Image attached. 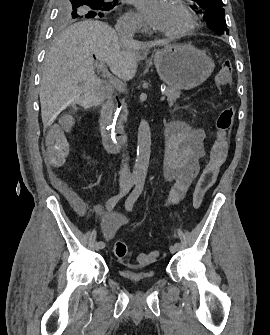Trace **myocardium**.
I'll use <instances>...</instances> for the list:
<instances>
[{"label": "myocardium", "mask_w": 270, "mask_h": 335, "mask_svg": "<svg viewBox=\"0 0 270 335\" xmlns=\"http://www.w3.org/2000/svg\"><path fill=\"white\" fill-rule=\"evenodd\" d=\"M177 11L186 18L187 24L183 29L175 32V36L177 37L186 36L196 28L198 19L195 16V14L185 6H178ZM173 78H180V77H173Z\"/></svg>", "instance_id": "1"}]
</instances>
